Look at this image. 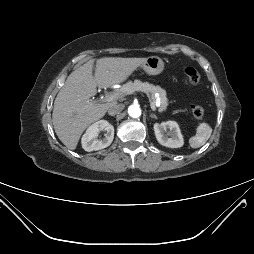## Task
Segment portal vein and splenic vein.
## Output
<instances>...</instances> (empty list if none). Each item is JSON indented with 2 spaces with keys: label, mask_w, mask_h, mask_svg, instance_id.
<instances>
[{
  "label": "portal vein and splenic vein",
  "mask_w": 254,
  "mask_h": 254,
  "mask_svg": "<svg viewBox=\"0 0 254 254\" xmlns=\"http://www.w3.org/2000/svg\"><path fill=\"white\" fill-rule=\"evenodd\" d=\"M121 96H122L121 93L116 92V93L106 94L105 96H102L101 99H102V101L110 102V101H113V100H116V99L120 98ZM149 101H150V105H151L152 110H155L156 105L160 104L159 100L155 103L151 100L150 97H149Z\"/></svg>",
  "instance_id": "portal-vein-and-splenic-vein-1"
}]
</instances>
